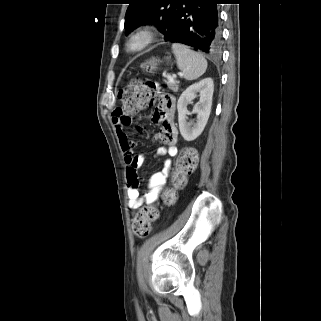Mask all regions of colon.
<instances>
[{
  "label": "colon",
  "mask_w": 321,
  "mask_h": 321,
  "mask_svg": "<svg viewBox=\"0 0 321 321\" xmlns=\"http://www.w3.org/2000/svg\"><path fill=\"white\" fill-rule=\"evenodd\" d=\"M142 80L131 81L124 89L119 92V99L122 106L119 110L131 115L148 107L156 96L151 94L152 90H144ZM198 154L194 148H184L181 150L174 167L172 175L173 188L168 189L160 201V205L170 206L177 198L176 190L182 188L187 180L197 168ZM159 216V209L156 206L143 208L133 219V232L139 237H146L150 234L153 224Z\"/></svg>",
  "instance_id": "colon-1"
}]
</instances>
